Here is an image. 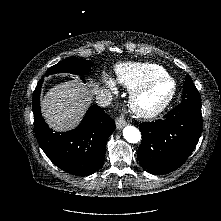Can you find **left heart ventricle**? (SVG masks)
I'll return each mask as SVG.
<instances>
[{"instance_id": "1", "label": "left heart ventricle", "mask_w": 221, "mask_h": 221, "mask_svg": "<svg viewBox=\"0 0 221 221\" xmlns=\"http://www.w3.org/2000/svg\"><path fill=\"white\" fill-rule=\"evenodd\" d=\"M168 90H169L168 84L165 83L158 84L140 99L141 105L146 108H150L156 105L167 95Z\"/></svg>"}]
</instances>
